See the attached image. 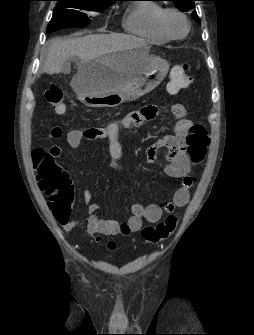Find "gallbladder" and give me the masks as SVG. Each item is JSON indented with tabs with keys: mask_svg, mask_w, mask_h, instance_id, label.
Wrapping results in <instances>:
<instances>
[{
	"mask_svg": "<svg viewBox=\"0 0 254 335\" xmlns=\"http://www.w3.org/2000/svg\"><path fill=\"white\" fill-rule=\"evenodd\" d=\"M69 68L67 66L63 67V71H67Z\"/></svg>",
	"mask_w": 254,
	"mask_h": 335,
	"instance_id": "obj_1",
	"label": "gallbladder"
}]
</instances>
